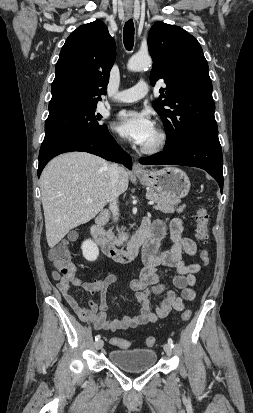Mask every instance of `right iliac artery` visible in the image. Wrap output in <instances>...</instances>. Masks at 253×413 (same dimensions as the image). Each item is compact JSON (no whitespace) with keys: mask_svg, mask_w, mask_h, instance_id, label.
I'll list each match as a JSON object with an SVG mask.
<instances>
[{"mask_svg":"<svg viewBox=\"0 0 253 413\" xmlns=\"http://www.w3.org/2000/svg\"><path fill=\"white\" fill-rule=\"evenodd\" d=\"M100 339V335H96L95 336V340L97 341V340H99Z\"/></svg>","mask_w":253,"mask_h":413,"instance_id":"1","label":"right iliac artery"}]
</instances>
